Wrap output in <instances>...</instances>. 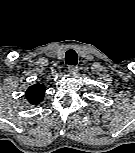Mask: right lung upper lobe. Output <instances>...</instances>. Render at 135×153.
Here are the masks:
<instances>
[{
	"label": "right lung upper lobe",
	"mask_w": 135,
	"mask_h": 153,
	"mask_svg": "<svg viewBox=\"0 0 135 153\" xmlns=\"http://www.w3.org/2000/svg\"><path fill=\"white\" fill-rule=\"evenodd\" d=\"M45 87L42 84L32 85L26 91V98L30 104L37 105L43 100Z\"/></svg>",
	"instance_id": "right-lung-upper-lobe-1"
}]
</instances>
